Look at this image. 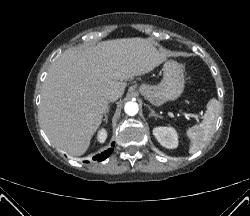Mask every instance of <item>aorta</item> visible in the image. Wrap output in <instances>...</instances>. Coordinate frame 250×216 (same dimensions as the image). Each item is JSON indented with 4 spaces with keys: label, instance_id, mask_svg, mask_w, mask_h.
Segmentation results:
<instances>
[{
    "label": "aorta",
    "instance_id": "1",
    "mask_svg": "<svg viewBox=\"0 0 250 216\" xmlns=\"http://www.w3.org/2000/svg\"><path fill=\"white\" fill-rule=\"evenodd\" d=\"M124 110L127 115L134 116L138 113L139 107L136 102H127L125 104Z\"/></svg>",
    "mask_w": 250,
    "mask_h": 216
}]
</instances>
